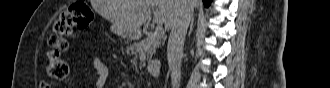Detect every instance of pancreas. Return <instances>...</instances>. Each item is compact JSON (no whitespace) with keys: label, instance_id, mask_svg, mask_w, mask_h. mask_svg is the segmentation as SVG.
Returning a JSON list of instances; mask_svg holds the SVG:
<instances>
[{"label":"pancreas","instance_id":"cf45deb5","mask_svg":"<svg viewBox=\"0 0 330 88\" xmlns=\"http://www.w3.org/2000/svg\"><path fill=\"white\" fill-rule=\"evenodd\" d=\"M160 45L161 41L158 38L149 35L146 39L132 45L130 51L135 55L138 53L140 62L142 63L146 57L147 59L149 56L151 57Z\"/></svg>","mask_w":330,"mask_h":88}]
</instances>
